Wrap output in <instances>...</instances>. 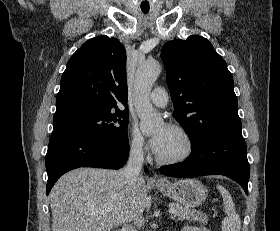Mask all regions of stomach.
Instances as JSON below:
<instances>
[{
    "mask_svg": "<svg viewBox=\"0 0 280 231\" xmlns=\"http://www.w3.org/2000/svg\"><path fill=\"white\" fill-rule=\"evenodd\" d=\"M157 189L172 197L176 203H181L185 207H198L205 201L208 195V189L198 181V179H178V181H169L167 187H162L156 183Z\"/></svg>",
    "mask_w": 280,
    "mask_h": 231,
    "instance_id": "obj_1",
    "label": "stomach"
}]
</instances>
